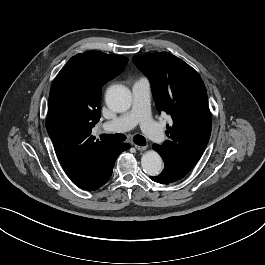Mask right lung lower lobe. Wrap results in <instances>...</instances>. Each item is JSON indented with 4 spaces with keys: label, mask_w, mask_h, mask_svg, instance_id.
<instances>
[{
    "label": "right lung lower lobe",
    "mask_w": 265,
    "mask_h": 265,
    "mask_svg": "<svg viewBox=\"0 0 265 265\" xmlns=\"http://www.w3.org/2000/svg\"><path fill=\"white\" fill-rule=\"evenodd\" d=\"M130 148L129 144H109L95 150L77 169L67 173L80 188L94 191L111 177L119 154Z\"/></svg>",
    "instance_id": "1"
}]
</instances>
